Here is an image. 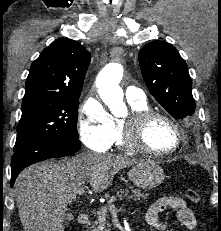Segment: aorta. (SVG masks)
Returning <instances> with one entry per match:
<instances>
[{
  "instance_id": "aorta-1",
  "label": "aorta",
  "mask_w": 221,
  "mask_h": 231,
  "mask_svg": "<svg viewBox=\"0 0 221 231\" xmlns=\"http://www.w3.org/2000/svg\"><path fill=\"white\" fill-rule=\"evenodd\" d=\"M122 77V66L117 63H111L101 70L96 79L98 93L114 115H119L125 108L123 91L119 87Z\"/></svg>"
}]
</instances>
